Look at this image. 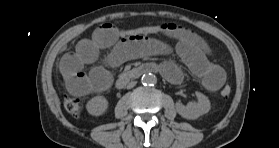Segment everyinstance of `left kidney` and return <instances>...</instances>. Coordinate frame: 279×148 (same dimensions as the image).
Instances as JSON below:
<instances>
[{"label":"left kidney","mask_w":279,"mask_h":148,"mask_svg":"<svg viewBox=\"0 0 279 148\" xmlns=\"http://www.w3.org/2000/svg\"><path fill=\"white\" fill-rule=\"evenodd\" d=\"M195 94L198 102H190L186 106L179 102L176 103V111L183 118L194 120L209 112L211 103L208 97L198 91Z\"/></svg>","instance_id":"5707ae66"}]
</instances>
